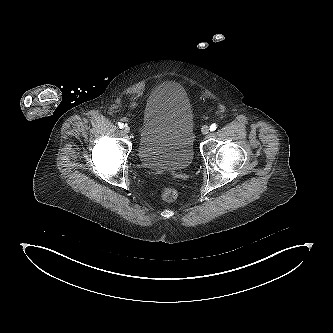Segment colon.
I'll return each instance as SVG.
<instances>
[{
	"label": "colon",
	"instance_id": "5ec220e1",
	"mask_svg": "<svg viewBox=\"0 0 333 333\" xmlns=\"http://www.w3.org/2000/svg\"><path fill=\"white\" fill-rule=\"evenodd\" d=\"M162 198L167 202L175 201L178 197V192L175 188L165 186L161 189Z\"/></svg>",
	"mask_w": 333,
	"mask_h": 333
}]
</instances>
